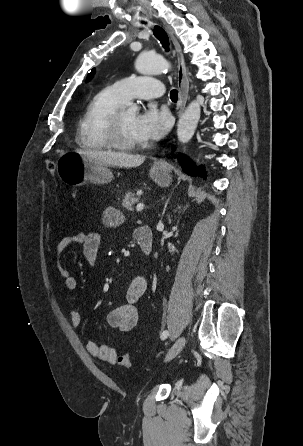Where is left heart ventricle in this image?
<instances>
[{"label":"left heart ventricle","mask_w":303,"mask_h":446,"mask_svg":"<svg viewBox=\"0 0 303 446\" xmlns=\"http://www.w3.org/2000/svg\"><path fill=\"white\" fill-rule=\"evenodd\" d=\"M136 113L130 110H123L121 115L122 135L129 142H140L134 133V122Z\"/></svg>","instance_id":"left-heart-ventricle-1"}]
</instances>
